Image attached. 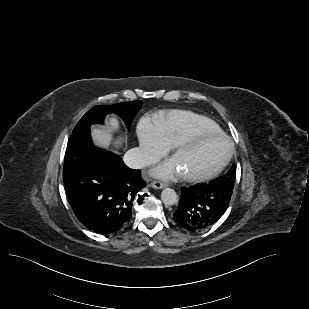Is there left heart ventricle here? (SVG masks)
I'll return each mask as SVG.
<instances>
[{"instance_id":"b2bd125f","label":"left heart ventricle","mask_w":309,"mask_h":309,"mask_svg":"<svg viewBox=\"0 0 309 309\" xmlns=\"http://www.w3.org/2000/svg\"><path fill=\"white\" fill-rule=\"evenodd\" d=\"M228 150L226 140L219 137H206L182 148L175 154L185 175L206 173L214 169Z\"/></svg>"}]
</instances>
